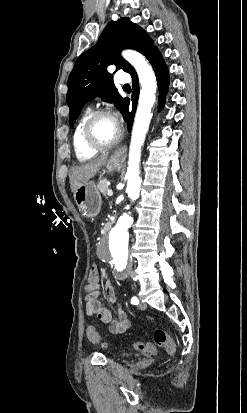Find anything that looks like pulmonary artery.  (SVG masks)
Segmentation results:
<instances>
[{"mask_svg":"<svg viewBox=\"0 0 247 413\" xmlns=\"http://www.w3.org/2000/svg\"><path fill=\"white\" fill-rule=\"evenodd\" d=\"M118 73L120 76H115L114 78V81L117 83V85L120 87L123 85L126 87L129 86L131 82L129 80V77L126 75V70L122 68Z\"/></svg>","mask_w":247,"mask_h":413,"instance_id":"e3ab8cb5","label":"pulmonary artery"}]
</instances>
